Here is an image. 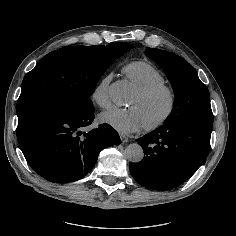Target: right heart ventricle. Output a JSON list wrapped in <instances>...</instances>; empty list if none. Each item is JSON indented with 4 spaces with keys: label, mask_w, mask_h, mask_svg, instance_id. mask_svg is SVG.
<instances>
[{
    "label": "right heart ventricle",
    "mask_w": 236,
    "mask_h": 236,
    "mask_svg": "<svg viewBox=\"0 0 236 236\" xmlns=\"http://www.w3.org/2000/svg\"><path fill=\"white\" fill-rule=\"evenodd\" d=\"M123 73L137 91L164 84L166 81L165 76L156 67L144 60L126 64Z\"/></svg>",
    "instance_id": "right-heart-ventricle-1"
}]
</instances>
